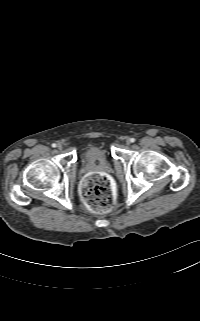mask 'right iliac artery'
<instances>
[{
	"instance_id": "obj_1",
	"label": "right iliac artery",
	"mask_w": 200,
	"mask_h": 321,
	"mask_svg": "<svg viewBox=\"0 0 200 321\" xmlns=\"http://www.w3.org/2000/svg\"><path fill=\"white\" fill-rule=\"evenodd\" d=\"M52 147H53V148H55V147H56V144H55V143H53V144H52Z\"/></svg>"
}]
</instances>
